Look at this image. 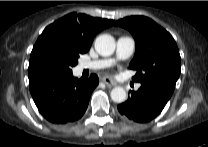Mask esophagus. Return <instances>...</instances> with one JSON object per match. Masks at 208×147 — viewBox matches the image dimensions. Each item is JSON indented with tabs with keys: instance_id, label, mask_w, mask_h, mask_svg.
Here are the masks:
<instances>
[{
	"instance_id": "34e87169",
	"label": "esophagus",
	"mask_w": 208,
	"mask_h": 147,
	"mask_svg": "<svg viewBox=\"0 0 208 147\" xmlns=\"http://www.w3.org/2000/svg\"><path fill=\"white\" fill-rule=\"evenodd\" d=\"M102 81H103L107 86H109V87H113V86H116V85H117V83H116L113 79H111V78H109V77H104V78L102 79Z\"/></svg>"
}]
</instances>
